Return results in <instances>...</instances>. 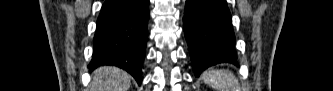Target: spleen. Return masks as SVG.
<instances>
[{
    "mask_svg": "<svg viewBox=\"0 0 333 91\" xmlns=\"http://www.w3.org/2000/svg\"><path fill=\"white\" fill-rule=\"evenodd\" d=\"M202 79L217 91H241L237 78L229 70H208L202 74Z\"/></svg>",
    "mask_w": 333,
    "mask_h": 91,
    "instance_id": "3e777b00",
    "label": "spleen"
}]
</instances>
